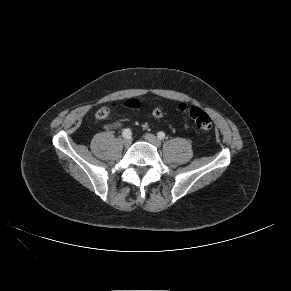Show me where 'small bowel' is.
<instances>
[{
	"label": "small bowel",
	"instance_id": "c3829d8e",
	"mask_svg": "<svg viewBox=\"0 0 291 291\" xmlns=\"http://www.w3.org/2000/svg\"><path fill=\"white\" fill-rule=\"evenodd\" d=\"M112 126L114 128H120L122 126V124L120 122H115Z\"/></svg>",
	"mask_w": 291,
	"mask_h": 291
}]
</instances>
